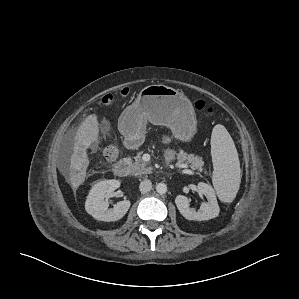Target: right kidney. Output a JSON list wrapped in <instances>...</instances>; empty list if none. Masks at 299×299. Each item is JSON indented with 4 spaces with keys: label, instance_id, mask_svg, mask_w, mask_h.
<instances>
[{
    "label": "right kidney",
    "instance_id": "obj_1",
    "mask_svg": "<svg viewBox=\"0 0 299 299\" xmlns=\"http://www.w3.org/2000/svg\"><path fill=\"white\" fill-rule=\"evenodd\" d=\"M119 187L120 181L115 179L103 180L93 185L85 202L87 213L99 221L111 222L121 219L129 210L130 201H119L113 209H108L109 204L104 200Z\"/></svg>",
    "mask_w": 299,
    "mask_h": 299
}]
</instances>
